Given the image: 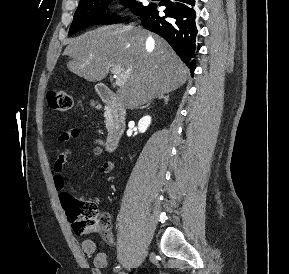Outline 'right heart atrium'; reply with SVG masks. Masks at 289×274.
Masks as SVG:
<instances>
[{
  "mask_svg": "<svg viewBox=\"0 0 289 274\" xmlns=\"http://www.w3.org/2000/svg\"><path fill=\"white\" fill-rule=\"evenodd\" d=\"M116 2H117V1H116ZM116 2L114 3L113 8H114L115 10H118V9H119V5H118Z\"/></svg>",
  "mask_w": 289,
  "mask_h": 274,
  "instance_id": "obj_1",
  "label": "right heart atrium"
}]
</instances>
